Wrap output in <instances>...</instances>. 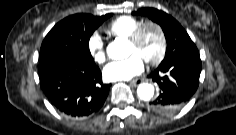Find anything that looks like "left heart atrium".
Here are the masks:
<instances>
[{"mask_svg":"<svg viewBox=\"0 0 236 135\" xmlns=\"http://www.w3.org/2000/svg\"><path fill=\"white\" fill-rule=\"evenodd\" d=\"M143 70V59L137 54H132L126 59L108 63L103 70V75L110 81L128 80L139 75Z\"/></svg>","mask_w":236,"mask_h":135,"instance_id":"39dd6f15","label":"left heart atrium"}]
</instances>
